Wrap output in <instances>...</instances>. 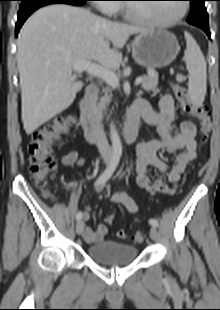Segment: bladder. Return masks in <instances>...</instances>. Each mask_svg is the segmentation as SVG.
Segmentation results:
<instances>
[{"label": "bladder", "mask_w": 220, "mask_h": 310, "mask_svg": "<svg viewBox=\"0 0 220 310\" xmlns=\"http://www.w3.org/2000/svg\"><path fill=\"white\" fill-rule=\"evenodd\" d=\"M87 256L92 261L103 265H127L135 261L137 248L126 243L103 240L89 246Z\"/></svg>", "instance_id": "bladder-1"}]
</instances>
